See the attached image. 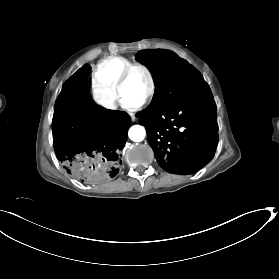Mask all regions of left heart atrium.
Segmentation results:
<instances>
[{
    "label": "left heart atrium",
    "mask_w": 279,
    "mask_h": 279,
    "mask_svg": "<svg viewBox=\"0 0 279 279\" xmlns=\"http://www.w3.org/2000/svg\"><path fill=\"white\" fill-rule=\"evenodd\" d=\"M123 105L126 109L134 110V109L138 108L140 103H129V102L123 101Z\"/></svg>",
    "instance_id": "1"
}]
</instances>
